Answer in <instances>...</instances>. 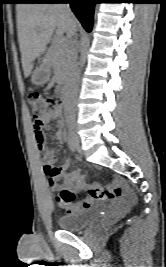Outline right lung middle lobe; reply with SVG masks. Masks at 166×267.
<instances>
[{"instance_id": "right-lung-middle-lobe-1", "label": "right lung middle lobe", "mask_w": 166, "mask_h": 267, "mask_svg": "<svg viewBox=\"0 0 166 267\" xmlns=\"http://www.w3.org/2000/svg\"><path fill=\"white\" fill-rule=\"evenodd\" d=\"M19 1H22V2H30V1H33V0H19Z\"/></svg>"}]
</instances>
